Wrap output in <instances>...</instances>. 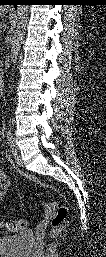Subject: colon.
<instances>
[{"label": "colon", "instance_id": "5ec220e1", "mask_svg": "<svg viewBox=\"0 0 106 257\" xmlns=\"http://www.w3.org/2000/svg\"><path fill=\"white\" fill-rule=\"evenodd\" d=\"M68 209L65 206L54 208L50 221L52 226V234L54 237L61 235L67 224ZM2 226L10 232H18L27 228L28 221L26 219H18L3 222Z\"/></svg>", "mask_w": 106, "mask_h": 257}]
</instances>
